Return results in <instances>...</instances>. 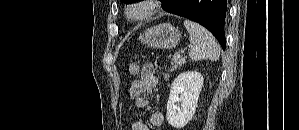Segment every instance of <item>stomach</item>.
<instances>
[{
  "label": "stomach",
  "mask_w": 299,
  "mask_h": 130,
  "mask_svg": "<svg viewBox=\"0 0 299 130\" xmlns=\"http://www.w3.org/2000/svg\"><path fill=\"white\" fill-rule=\"evenodd\" d=\"M181 32L178 28L169 23L159 24L147 29L139 40L150 48L172 49L181 39Z\"/></svg>",
  "instance_id": "obj_1"
}]
</instances>
